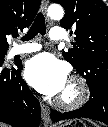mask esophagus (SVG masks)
Listing matches in <instances>:
<instances>
[{"mask_svg": "<svg viewBox=\"0 0 108 127\" xmlns=\"http://www.w3.org/2000/svg\"><path fill=\"white\" fill-rule=\"evenodd\" d=\"M47 6H48V0H42L41 8L44 14H46ZM41 117L45 126H49L51 124L50 109L45 104H41Z\"/></svg>", "mask_w": 108, "mask_h": 127, "instance_id": "obj_1", "label": "esophagus"}]
</instances>
